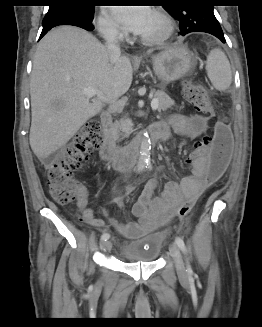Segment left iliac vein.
I'll return each instance as SVG.
<instances>
[{
  "instance_id": "left-iliac-vein-1",
  "label": "left iliac vein",
  "mask_w": 262,
  "mask_h": 327,
  "mask_svg": "<svg viewBox=\"0 0 262 327\" xmlns=\"http://www.w3.org/2000/svg\"><path fill=\"white\" fill-rule=\"evenodd\" d=\"M169 251H170L171 256L174 259L178 275L181 278H185L186 277V269H185V265H184V262H183V259L181 257V254H180V251H179V248H178L177 244L172 242L169 245Z\"/></svg>"
}]
</instances>
